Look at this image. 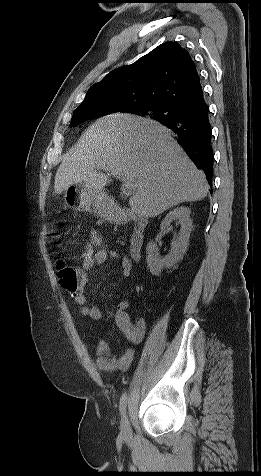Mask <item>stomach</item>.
Wrapping results in <instances>:
<instances>
[{
	"label": "stomach",
	"instance_id": "0dacf381",
	"mask_svg": "<svg viewBox=\"0 0 261 476\" xmlns=\"http://www.w3.org/2000/svg\"><path fill=\"white\" fill-rule=\"evenodd\" d=\"M64 197L67 206L73 210L94 213L107 220L115 219L114 202L103 190L78 183L68 187Z\"/></svg>",
	"mask_w": 261,
	"mask_h": 476
}]
</instances>
